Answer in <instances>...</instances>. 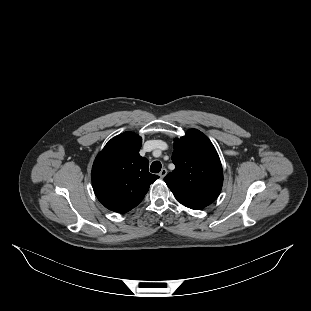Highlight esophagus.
I'll return each instance as SVG.
<instances>
[{"label": "esophagus", "instance_id": "esophagus-1", "mask_svg": "<svg viewBox=\"0 0 311 311\" xmlns=\"http://www.w3.org/2000/svg\"><path fill=\"white\" fill-rule=\"evenodd\" d=\"M167 174V169L163 168L160 173H159V176L160 178H164Z\"/></svg>", "mask_w": 311, "mask_h": 311}]
</instances>
